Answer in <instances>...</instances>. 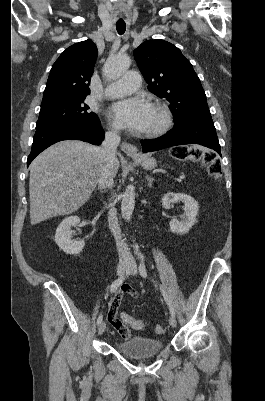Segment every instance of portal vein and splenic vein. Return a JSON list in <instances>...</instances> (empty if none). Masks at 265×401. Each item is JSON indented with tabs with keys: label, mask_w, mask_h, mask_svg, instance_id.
<instances>
[{
	"label": "portal vein and splenic vein",
	"mask_w": 265,
	"mask_h": 401,
	"mask_svg": "<svg viewBox=\"0 0 265 401\" xmlns=\"http://www.w3.org/2000/svg\"><path fill=\"white\" fill-rule=\"evenodd\" d=\"M179 178H180V180L186 179L187 175L186 174L179 175Z\"/></svg>",
	"instance_id": "portal-vein-and-splenic-vein-1"
}]
</instances>
